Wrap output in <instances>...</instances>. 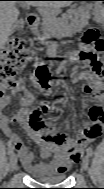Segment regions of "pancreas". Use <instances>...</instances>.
<instances>
[{
  "label": "pancreas",
  "mask_w": 104,
  "mask_h": 189,
  "mask_svg": "<svg viewBox=\"0 0 104 189\" xmlns=\"http://www.w3.org/2000/svg\"><path fill=\"white\" fill-rule=\"evenodd\" d=\"M91 9L90 5L85 8L80 6L75 9H69L60 18L49 17L44 20L42 24V35L37 37L38 40L44 42L52 37L62 38L65 37L69 21L76 26H83L88 23L90 15L88 11Z\"/></svg>",
  "instance_id": "pancreas-1"
}]
</instances>
